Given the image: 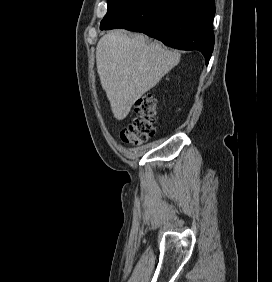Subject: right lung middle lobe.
<instances>
[{
  "label": "right lung middle lobe",
  "mask_w": 272,
  "mask_h": 282,
  "mask_svg": "<svg viewBox=\"0 0 272 282\" xmlns=\"http://www.w3.org/2000/svg\"><path fill=\"white\" fill-rule=\"evenodd\" d=\"M137 0H107V13L101 21L100 29L117 18Z\"/></svg>",
  "instance_id": "1"
}]
</instances>
